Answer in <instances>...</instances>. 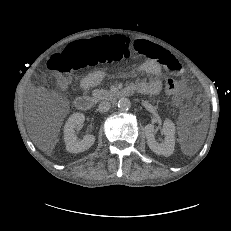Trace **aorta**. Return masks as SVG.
Returning a JSON list of instances; mask_svg holds the SVG:
<instances>
[{"label": "aorta", "instance_id": "762f6f07", "mask_svg": "<svg viewBox=\"0 0 231 231\" xmlns=\"http://www.w3.org/2000/svg\"><path fill=\"white\" fill-rule=\"evenodd\" d=\"M131 107V102L128 98H121L119 99L118 101V108L121 110V111H127L129 110Z\"/></svg>", "mask_w": 231, "mask_h": 231}]
</instances>
